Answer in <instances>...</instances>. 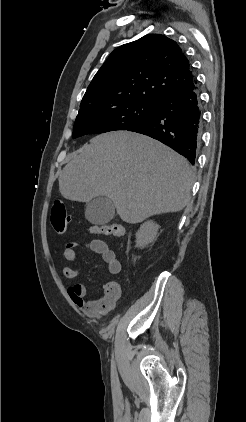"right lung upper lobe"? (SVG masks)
I'll return each instance as SVG.
<instances>
[{
	"instance_id": "1",
	"label": "right lung upper lobe",
	"mask_w": 246,
	"mask_h": 422,
	"mask_svg": "<svg viewBox=\"0 0 246 422\" xmlns=\"http://www.w3.org/2000/svg\"><path fill=\"white\" fill-rule=\"evenodd\" d=\"M196 85L180 46L160 34H148L115 49L94 76L80 107L123 97L155 103Z\"/></svg>"
}]
</instances>
